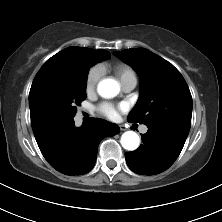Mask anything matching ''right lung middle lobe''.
<instances>
[{
    "label": "right lung middle lobe",
    "mask_w": 222,
    "mask_h": 222,
    "mask_svg": "<svg viewBox=\"0 0 222 222\" xmlns=\"http://www.w3.org/2000/svg\"><path fill=\"white\" fill-rule=\"evenodd\" d=\"M98 61L77 56L46 68L30 94L31 125H45L56 117H74L86 98L89 67Z\"/></svg>",
    "instance_id": "obj_1"
}]
</instances>
